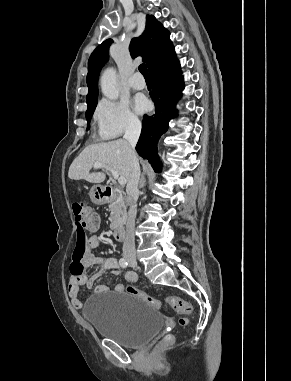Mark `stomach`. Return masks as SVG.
Here are the masks:
<instances>
[{
  "mask_svg": "<svg viewBox=\"0 0 291 381\" xmlns=\"http://www.w3.org/2000/svg\"><path fill=\"white\" fill-rule=\"evenodd\" d=\"M89 195L92 202L97 205H101L106 202V198L103 194V188L98 185L91 188Z\"/></svg>",
  "mask_w": 291,
  "mask_h": 381,
  "instance_id": "1",
  "label": "stomach"
}]
</instances>
